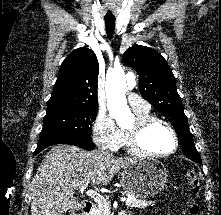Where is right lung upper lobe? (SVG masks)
<instances>
[{
    "mask_svg": "<svg viewBox=\"0 0 221 215\" xmlns=\"http://www.w3.org/2000/svg\"><path fill=\"white\" fill-rule=\"evenodd\" d=\"M98 71V60L92 50L82 47L71 52L60 67L46 114L67 109H98Z\"/></svg>",
    "mask_w": 221,
    "mask_h": 215,
    "instance_id": "cb5924a9",
    "label": "right lung upper lobe"
}]
</instances>
